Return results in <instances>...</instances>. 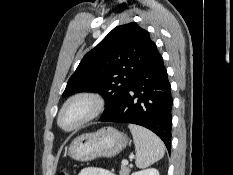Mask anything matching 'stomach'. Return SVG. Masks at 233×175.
I'll use <instances>...</instances> for the list:
<instances>
[{"mask_svg": "<svg viewBox=\"0 0 233 175\" xmlns=\"http://www.w3.org/2000/svg\"><path fill=\"white\" fill-rule=\"evenodd\" d=\"M127 144L128 139L124 133L112 127H104L75 138L68 148V155L81 162L101 157L111 158L119 154Z\"/></svg>", "mask_w": 233, "mask_h": 175, "instance_id": "1", "label": "stomach"}]
</instances>
